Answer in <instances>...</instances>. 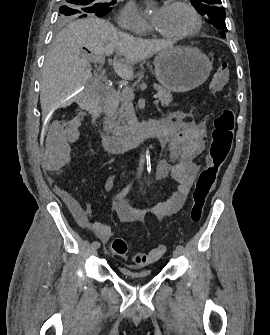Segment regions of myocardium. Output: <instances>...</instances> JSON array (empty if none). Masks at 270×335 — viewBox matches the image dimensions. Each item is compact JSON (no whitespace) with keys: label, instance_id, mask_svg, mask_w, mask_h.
I'll list each match as a JSON object with an SVG mask.
<instances>
[{"label":"myocardium","instance_id":"obj_1","mask_svg":"<svg viewBox=\"0 0 270 335\" xmlns=\"http://www.w3.org/2000/svg\"><path fill=\"white\" fill-rule=\"evenodd\" d=\"M173 7H185L193 16L194 18V25L193 27L186 32L180 33V34H175V35H167V37L169 38H176V39H185L188 38L194 34H196L202 27V19L199 15V13L197 12V10L195 9V7L190 3V2H175L173 4ZM173 78H180V77H173ZM200 78H204V77H200Z\"/></svg>","mask_w":270,"mask_h":335}]
</instances>
